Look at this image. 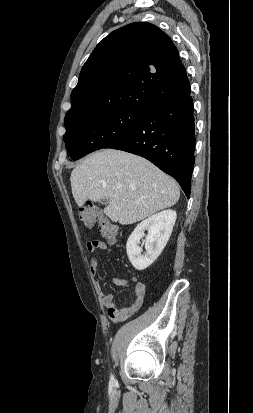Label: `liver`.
I'll use <instances>...</instances> for the list:
<instances>
[{"instance_id":"1","label":"liver","mask_w":253,"mask_h":413,"mask_svg":"<svg viewBox=\"0 0 253 413\" xmlns=\"http://www.w3.org/2000/svg\"><path fill=\"white\" fill-rule=\"evenodd\" d=\"M73 197L79 207L87 200L108 199L104 213L129 225L171 207L180 190L173 178L140 156L114 149L89 155L71 172Z\"/></svg>"}]
</instances>
